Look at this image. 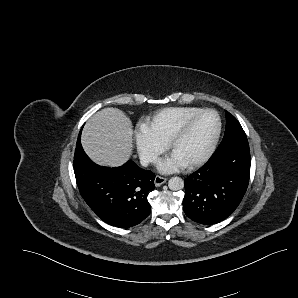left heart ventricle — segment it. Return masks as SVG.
Instances as JSON below:
<instances>
[{
  "mask_svg": "<svg viewBox=\"0 0 298 298\" xmlns=\"http://www.w3.org/2000/svg\"><path fill=\"white\" fill-rule=\"evenodd\" d=\"M215 129L216 123L212 115L198 117L173 145L170 155L188 164L204 151Z\"/></svg>",
  "mask_w": 298,
  "mask_h": 298,
  "instance_id": "1",
  "label": "left heart ventricle"
}]
</instances>
